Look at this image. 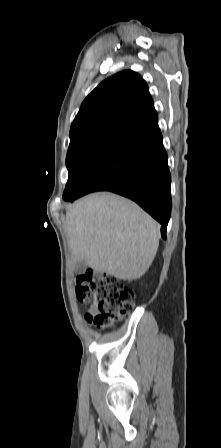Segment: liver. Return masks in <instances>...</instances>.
Listing matches in <instances>:
<instances>
[{
  "instance_id": "6515ba94",
  "label": "liver",
  "mask_w": 221,
  "mask_h": 448,
  "mask_svg": "<svg viewBox=\"0 0 221 448\" xmlns=\"http://www.w3.org/2000/svg\"><path fill=\"white\" fill-rule=\"evenodd\" d=\"M74 262L120 280L140 278L159 246V225L134 202L109 192L90 194L66 213Z\"/></svg>"
}]
</instances>
